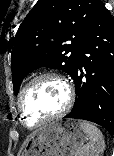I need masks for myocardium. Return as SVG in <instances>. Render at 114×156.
Here are the masks:
<instances>
[{
    "mask_svg": "<svg viewBox=\"0 0 114 156\" xmlns=\"http://www.w3.org/2000/svg\"><path fill=\"white\" fill-rule=\"evenodd\" d=\"M45 78L54 79V80L58 81L63 86V88L65 90V95H66L65 103H64L63 107L61 108V110L58 111L57 113H55L49 117H46V118L38 121L36 124L30 126L25 122L24 112H23L22 104H21L22 98H23L24 94L26 93V91L35 82L45 79ZM73 102H74V90H73L72 85L68 82V80L64 76H62L56 72L49 71V72H43V73H40V74L34 76L31 80H29L24 85V87L21 89V91L18 95L17 106H18V110L20 112V117H21V121H22L23 125L26 126L27 128L33 129V128H36L44 123L56 120V119L64 116L71 109Z\"/></svg>",
    "mask_w": 114,
    "mask_h": 156,
    "instance_id": "1",
    "label": "myocardium"
}]
</instances>
